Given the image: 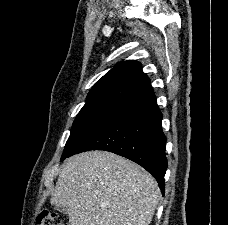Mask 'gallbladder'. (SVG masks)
<instances>
[{"label":"gallbladder","instance_id":"gallbladder-1","mask_svg":"<svg viewBox=\"0 0 228 225\" xmlns=\"http://www.w3.org/2000/svg\"><path fill=\"white\" fill-rule=\"evenodd\" d=\"M55 209H57V211H60V213H65L66 211L65 207H55Z\"/></svg>","mask_w":228,"mask_h":225}]
</instances>
